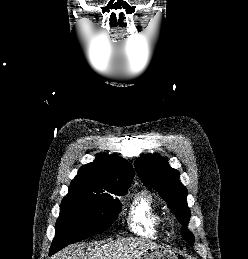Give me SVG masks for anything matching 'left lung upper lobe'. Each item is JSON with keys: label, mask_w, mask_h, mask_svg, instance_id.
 I'll list each match as a JSON object with an SVG mask.
<instances>
[{"label": "left lung upper lobe", "mask_w": 248, "mask_h": 259, "mask_svg": "<svg viewBox=\"0 0 248 259\" xmlns=\"http://www.w3.org/2000/svg\"><path fill=\"white\" fill-rule=\"evenodd\" d=\"M135 169L141 181L148 189L159 192L182 223L181 235L191 245L194 243L193 234L188 230L187 224L190 220V210L187 205V189L179 180V172L172 169L166 158L156 154H148L138 158Z\"/></svg>", "instance_id": "obj_1"}]
</instances>
